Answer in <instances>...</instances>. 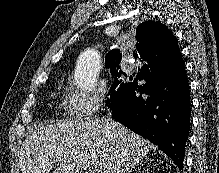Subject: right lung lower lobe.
Here are the masks:
<instances>
[{"label":"right lung lower lobe","mask_w":219,"mask_h":173,"mask_svg":"<svg viewBox=\"0 0 219 173\" xmlns=\"http://www.w3.org/2000/svg\"><path fill=\"white\" fill-rule=\"evenodd\" d=\"M146 62L108 107L116 121L153 142L181 170L191 113L184 62Z\"/></svg>","instance_id":"98d812e1"}]
</instances>
